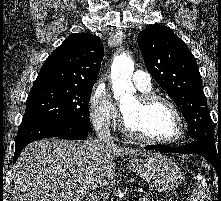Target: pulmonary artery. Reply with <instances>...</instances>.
<instances>
[{
    "label": "pulmonary artery",
    "instance_id": "pulmonary-artery-1",
    "mask_svg": "<svg viewBox=\"0 0 221 201\" xmlns=\"http://www.w3.org/2000/svg\"><path fill=\"white\" fill-rule=\"evenodd\" d=\"M132 80L139 90H148L151 88L150 75L145 71H135Z\"/></svg>",
    "mask_w": 221,
    "mask_h": 201
}]
</instances>
